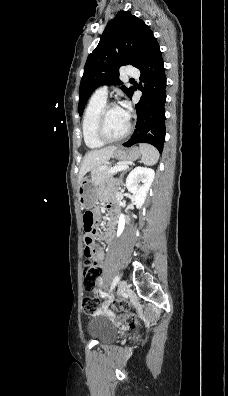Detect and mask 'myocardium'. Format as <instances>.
<instances>
[{"label": "myocardium", "mask_w": 228, "mask_h": 396, "mask_svg": "<svg viewBox=\"0 0 228 396\" xmlns=\"http://www.w3.org/2000/svg\"><path fill=\"white\" fill-rule=\"evenodd\" d=\"M115 107H119V106L116 103H106L98 114L96 120V135L98 139L101 140L103 143H112L123 140L131 132L132 126H131V122L128 120L127 128L121 135L116 137H111L106 133L105 120L107 113L110 109Z\"/></svg>", "instance_id": "f54148a6"}]
</instances>
